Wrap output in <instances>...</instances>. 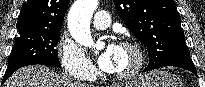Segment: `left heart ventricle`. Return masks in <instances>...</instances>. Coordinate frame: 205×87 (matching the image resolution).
I'll return each instance as SVG.
<instances>
[{
	"mask_svg": "<svg viewBox=\"0 0 205 87\" xmlns=\"http://www.w3.org/2000/svg\"><path fill=\"white\" fill-rule=\"evenodd\" d=\"M136 56L130 49L118 47L114 58V73H123L129 71L135 64Z\"/></svg>",
	"mask_w": 205,
	"mask_h": 87,
	"instance_id": "b2bd125f",
	"label": "left heart ventricle"
}]
</instances>
